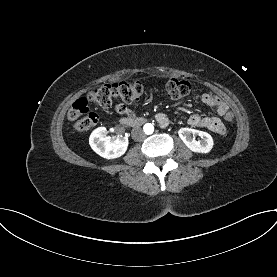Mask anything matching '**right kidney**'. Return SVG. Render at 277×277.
Listing matches in <instances>:
<instances>
[{
  "mask_svg": "<svg viewBox=\"0 0 277 277\" xmlns=\"http://www.w3.org/2000/svg\"><path fill=\"white\" fill-rule=\"evenodd\" d=\"M106 132V127H99L91 133L89 137L91 148L106 159H115L122 156L127 150L128 138L106 137Z\"/></svg>",
  "mask_w": 277,
  "mask_h": 277,
  "instance_id": "right-kidney-1",
  "label": "right kidney"
}]
</instances>
